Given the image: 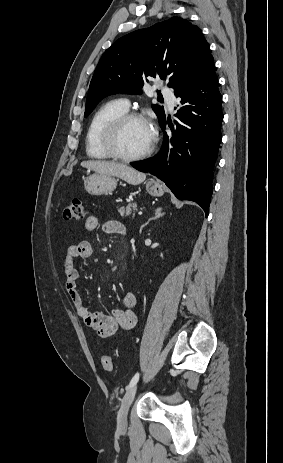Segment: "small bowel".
<instances>
[{"mask_svg":"<svg viewBox=\"0 0 283 463\" xmlns=\"http://www.w3.org/2000/svg\"><path fill=\"white\" fill-rule=\"evenodd\" d=\"M98 219L89 216L84 222L87 231H94L98 228ZM102 230L105 234L126 235L125 226L119 221H107L103 224ZM93 245L88 241L71 245L67 249L64 261L65 289L70 297L75 310L82 322L90 329L95 330L102 338L113 336L117 332H128L136 325L134 307L136 295L127 291L122 296L123 308L112 309L109 313L92 311L85 299L80 295L77 288L79 272L74 266L75 259H86L92 256Z\"/></svg>","mask_w":283,"mask_h":463,"instance_id":"c3829d8e","label":"small bowel"}]
</instances>
